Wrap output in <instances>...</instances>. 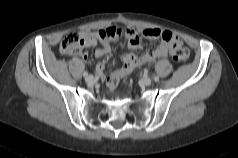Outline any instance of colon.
<instances>
[{
  "label": "colon",
  "instance_id": "1",
  "mask_svg": "<svg viewBox=\"0 0 238 158\" xmlns=\"http://www.w3.org/2000/svg\"><path fill=\"white\" fill-rule=\"evenodd\" d=\"M99 35L104 40H108L117 36L115 31L110 28L99 31ZM83 48L84 40L80 33L77 32H71L67 34L60 45V51L64 55L80 54ZM171 54L174 60L178 62H186L189 59V51L179 42L173 44Z\"/></svg>",
  "mask_w": 238,
  "mask_h": 158
}]
</instances>
